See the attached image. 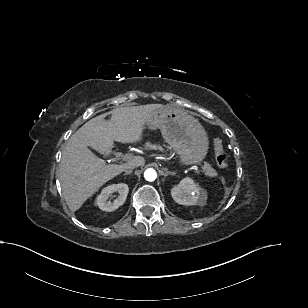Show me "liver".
I'll return each mask as SVG.
<instances>
[{
    "label": "liver",
    "mask_w": 308,
    "mask_h": 308,
    "mask_svg": "<svg viewBox=\"0 0 308 308\" xmlns=\"http://www.w3.org/2000/svg\"><path fill=\"white\" fill-rule=\"evenodd\" d=\"M163 107L162 104H147L115 108L110 111V120L104 119L107 113L99 115L70 137L62 153L59 178L71 211H77L101 186L125 171L129 163L144 164V159L137 157L127 164L106 165L88 147L103 154L113 147L114 141H140L146 118Z\"/></svg>",
    "instance_id": "liver-1"
}]
</instances>
